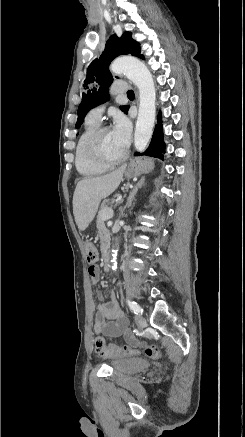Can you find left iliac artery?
Segmentation results:
<instances>
[{
    "label": "left iliac artery",
    "instance_id": "44dca946",
    "mask_svg": "<svg viewBox=\"0 0 245 437\" xmlns=\"http://www.w3.org/2000/svg\"><path fill=\"white\" fill-rule=\"evenodd\" d=\"M126 302H127L128 306H129V308L135 314L142 313L143 310L141 309V307L135 301L126 300Z\"/></svg>",
    "mask_w": 245,
    "mask_h": 437
}]
</instances>
